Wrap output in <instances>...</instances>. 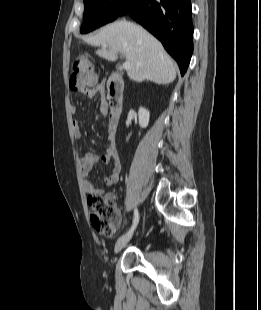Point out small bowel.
<instances>
[{
    "mask_svg": "<svg viewBox=\"0 0 261 310\" xmlns=\"http://www.w3.org/2000/svg\"><path fill=\"white\" fill-rule=\"evenodd\" d=\"M104 91V85L100 84L94 88H90L84 91V95L92 98L95 96H101ZM73 113L76 112L75 108H72ZM72 129L75 138L81 137V128L78 121L74 120L72 122ZM108 141L109 145L105 151V153L100 157L96 153L88 152L84 156H82L80 160V167L84 179V187L88 194H99L103 193L101 188L96 187L90 180H89V173L92 170L93 166L102 158V160L106 163H112V171L111 173L104 178V183L107 186H111L117 183L120 172H121V162L118 156L116 144H115V131L112 130L110 124L108 126Z\"/></svg>",
    "mask_w": 261,
    "mask_h": 310,
    "instance_id": "1",
    "label": "small bowel"
}]
</instances>
